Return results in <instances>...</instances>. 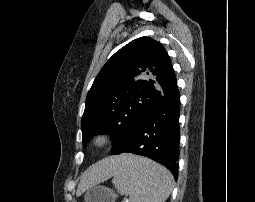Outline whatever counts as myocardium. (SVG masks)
<instances>
[{"label": "myocardium", "instance_id": "obj_1", "mask_svg": "<svg viewBox=\"0 0 255 202\" xmlns=\"http://www.w3.org/2000/svg\"><path fill=\"white\" fill-rule=\"evenodd\" d=\"M112 142V136L109 132L102 131L96 133L91 139V145L95 149H104Z\"/></svg>", "mask_w": 255, "mask_h": 202}]
</instances>
